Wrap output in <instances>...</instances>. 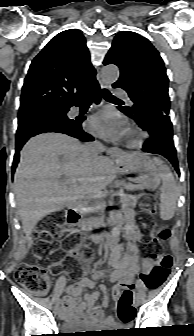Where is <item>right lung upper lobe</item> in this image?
<instances>
[{
	"mask_svg": "<svg viewBox=\"0 0 194 336\" xmlns=\"http://www.w3.org/2000/svg\"><path fill=\"white\" fill-rule=\"evenodd\" d=\"M95 75L82 33L63 31L33 59L19 111L65 108L96 82Z\"/></svg>",
	"mask_w": 194,
	"mask_h": 336,
	"instance_id": "1",
	"label": "right lung upper lobe"
}]
</instances>
